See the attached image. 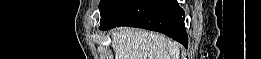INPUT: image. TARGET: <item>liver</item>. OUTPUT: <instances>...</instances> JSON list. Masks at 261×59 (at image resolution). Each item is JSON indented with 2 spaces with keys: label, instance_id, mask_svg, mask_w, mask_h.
<instances>
[{
  "label": "liver",
  "instance_id": "6515ba94",
  "mask_svg": "<svg viewBox=\"0 0 261 59\" xmlns=\"http://www.w3.org/2000/svg\"><path fill=\"white\" fill-rule=\"evenodd\" d=\"M115 59H179L180 46L163 34L136 28H118L112 33Z\"/></svg>",
  "mask_w": 261,
  "mask_h": 59
}]
</instances>
